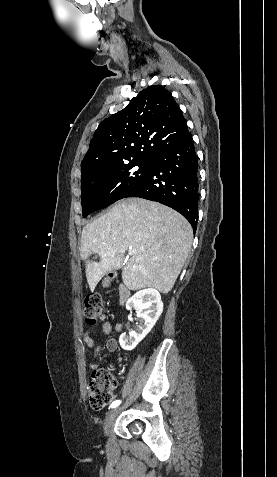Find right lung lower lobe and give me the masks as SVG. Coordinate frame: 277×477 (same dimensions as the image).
Instances as JSON below:
<instances>
[{
    "mask_svg": "<svg viewBox=\"0 0 277 477\" xmlns=\"http://www.w3.org/2000/svg\"><path fill=\"white\" fill-rule=\"evenodd\" d=\"M151 169L127 197L160 202L181 213L196 231L198 220V158L189 133L178 144L155 155Z\"/></svg>",
    "mask_w": 277,
    "mask_h": 477,
    "instance_id": "1",
    "label": "right lung lower lobe"
}]
</instances>
